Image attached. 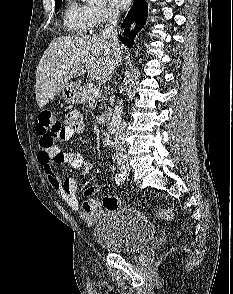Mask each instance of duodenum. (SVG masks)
Instances as JSON below:
<instances>
[{
  "mask_svg": "<svg viewBox=\"0 0 233 294\" xmlns=\"http://www.w3.org/2000/svg\"><path fill=\"white\" fill-rule=\"evenodd\" d=\"M102 143L106 146H110L113 143L112 136L107 130L101 132Z\"/></svg>",
  "mask_w": 233,
  "mask_h": 294,
  "instance_id": "obj_1",
  "label": "duodenum"
}]
</instances>
